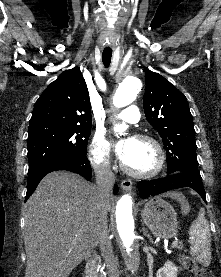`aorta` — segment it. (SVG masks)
<instances>
[{"mask_svg":"<svg viewBox=\"0 0 221 277\" xmlns=\"http://www.w3.org/2000/svg\"><path fill=\"white\" fill-rule=\"evenodd\" d=\"M142 88V83L136 76H127L118 85L113 96L116 107H125L131 104ZM117 132L126 130L124 123L115 127ZM133 200L130 194L122 195L116 203L113 234L125 261L136 266L139 262V242L133 217Z\"/></svg>","mask_w":221,"mask_h":277,"instance_id":"762f6f07","label":"aorta"}]
</instances>
